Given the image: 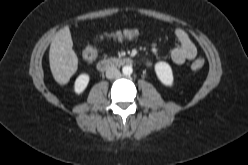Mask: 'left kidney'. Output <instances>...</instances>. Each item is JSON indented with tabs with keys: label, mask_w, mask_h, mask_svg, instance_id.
I'll use <instances>...</instances> for the list:
<instances>
[{
	"label": "left kidney",
	"mask_w": 248,
	"mask_h": 165,
	"mask_svg": "<svg viewBox=\"0 0 248 165\" xmlns=\"http://www.w3.org/2000/svg\"><path fill=\"white\" fill-rule=\"evenodd\" d=\"M154 68L161 83L171 87L173 85V72L170 65L166 62H158Z\"/></svg>",
	"instance_id": "1"
}]
</instances>
